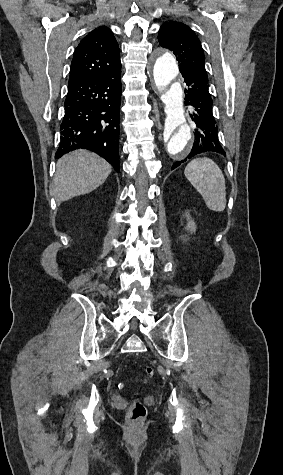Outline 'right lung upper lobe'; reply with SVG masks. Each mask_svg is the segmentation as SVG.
Segmentation results:
<instances>
[{"label": "right lung upper lobe", "instance_id": "cb5924a9", "mask_svg": "<svg viewBox=\"0 0 283 475\" xmlns=\"http://www.w3.org/2000/svg\"><path fill=\"white\" fill-rule=\"evenodd\" d=\"M119 71L121 62L118 43L108 27L100 26L86 35L77 46L69 81L100 78Z\"/></svg>", "mask_w": 283, "mask_h": 475}]
</instances>
